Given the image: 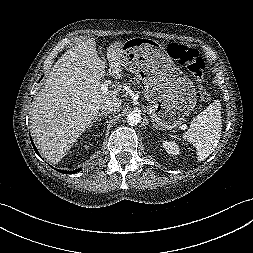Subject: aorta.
<instances>
[{
    "mask_svg": "<svg viewBox=\"0 0 253 253\" xmlns=\"http://www.w3.org/2000/svg\"><path fill=\"white\" fill-rule=\"evenodd\" d=\"M141 121V115L139 112L132 111L127 115V122L130 125H137Z\"/></svg>",
    "mask_w": 253,
    "mask_h": 253,
    "instance_id": "762f6f07",
    "label": "aorta"
}]
</instances>
